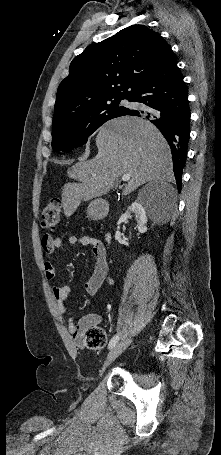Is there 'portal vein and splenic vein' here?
Wrapping results in <instances>:
<instances>
[{
  "instance_id": "1",
  "label": "portal vein and splenic vein",
  "mask_w": 221,
  "mask_h": 455,
  "mask_svg": "<svg viewBox=\"0 0 221 455\" xmlns=\"http://www.w3.org/2000/svg\"><path fill=\"white\" fill-rule=\"evenodd\" d=\"M130 178H131V177H130L129 174H124V175L122 176V180H123L124 182H125V181H129Z\"/></svg>"
}]
</instances>
